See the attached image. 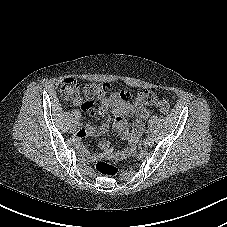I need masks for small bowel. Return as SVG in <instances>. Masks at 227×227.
<instances>
[{
    "label": "small bowel",
    "mask_w": 227,
    "mask_h": 227,
    "mask_svg": "<svg viewBox=\"0 0 227 227\" xmlns=\"http://www.w3.org/2000/svg\"><path fill=\"white\" fill-rule=\"evenodd\" d=\"M75 106L80 107L83 111L87 112L92 116L104 115L107 112H111L114 116L113 128L118 134L126 139L130 147H133L140 135L144 130V121L148 118L149 112L145 105L139 102L137 99L131 103L130 95L127 92L120 91L112 93L107 97H101L96 102L85 101L82 97L78 96L73 100ZM134 116V122L132 130L129 132L128 125L126 122V116ZM109 129L108 123L101 125H88L81 128L77 132V137L82 139L86 136H97L105 133ZM106 157L114 156V151L106 142L101 144ZM131 148H126L119 152L117 155L123 156L128 154ZM91 159H94L95 155H89Z\"/></svg>",
    "instance_id": "small-bowel-1"
}]
</instances>
